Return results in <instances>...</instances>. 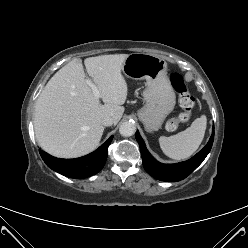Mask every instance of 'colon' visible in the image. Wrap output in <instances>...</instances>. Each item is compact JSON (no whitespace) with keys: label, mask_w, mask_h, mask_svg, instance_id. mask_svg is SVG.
<instances>
[{"label":"colon","mask_w":248,"mask_h":248,"mask_svg":"<svg viewBox=\"0 0 248 248\" xmlns=\"http://www.w3.org/2000/svg\"><path fill=\"white\" fill-rule=\"evenodd\" d=\"M171 84L178 93V102L183 109V113L174 116L167 123L168 130H175L181 124L185 123L194 106V97L191 94L190 87L184 81L180 73H173L171 75Z\"/></svg>","instance_id":"colon-1"}]
</instances>
